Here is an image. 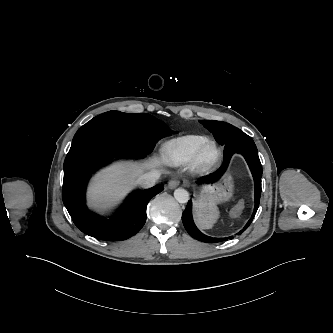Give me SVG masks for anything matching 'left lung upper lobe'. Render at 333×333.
Segmentation results:
<instances>
[{"label": "left lung upper lobe", "mask_w": 333, "mask_h": 333, "mask_svg": "<svg viewBox=\"0 0 333 333\" xmlns=\"http://www.w3.org/2000/svg\"><path fill=\"white\" fill-rule=\"evenodd\" d=\"M200 122L210 132L213 133L218 143L223 146H225V144L230 140L231 136L240 131V129L226 122L214 121V120H201Z\"/></svg>", "instance_id": "obj_1"}]
</instances>
